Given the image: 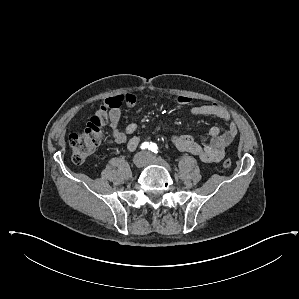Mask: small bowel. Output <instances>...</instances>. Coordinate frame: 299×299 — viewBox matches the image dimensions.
I'll use <instances>...</instances> for the list:
<instances>
[{"label":"small bowel","mask_w":299,"mask_h":299,"mask_svg":"<svg viewBox=\"0 0 299 299\" xmlns=\"http://www.w3.org/2000/svg\"><path fill=\"white\" fill-rule=\"evenodd\" d=\"M191 99L186 96H178L174 102L180 106H187ZM138 97L134 93H124L104 99L95 112L104 125L110 128L115 143H126L127 150L133 152L140 143L138 126L134 123L128 124L124 132L120 131L118 124L122 115V107H133L137 104ZM191 116H214L228 123L224 132L217 126L209 129V141L201 145L191 135L175 134L171 137L172 145L180 151L191 153L204 162H220L225 156V148L237 136L238 129L234 122L231 121L229 112L222 106L211 103L204 105L192 106L189 109ZM157 125L155 130L159 131ZM127 136H131L129 139Z\"/></svg>","instance_id":"obj_1"}]
</instances>
